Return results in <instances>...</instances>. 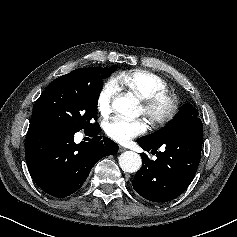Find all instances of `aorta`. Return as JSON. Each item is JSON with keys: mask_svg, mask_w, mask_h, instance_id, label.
I'll use <instances>...</instances> for the list:
<instances>
[{"mask_svg": "<svg viewBox=\"0 0 237 237\" xmlns=\"http://www.w3.org/2000/svg\"><path fill=\"white\" fill-rule=\"evenodd\" d=\"M113 109L129 118L138 116V100L132 96H117L112 102ZM142 164L139 154L133 151H125L119 156V165L125 172H137Z\"/></svg>", "mask_w": 237, "mask_h": 237, "instance_id": "aorta-1", "label": "aorta"}]
</instances>
